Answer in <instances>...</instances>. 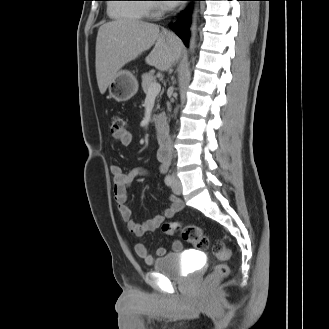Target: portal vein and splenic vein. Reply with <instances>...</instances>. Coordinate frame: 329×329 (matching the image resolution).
Masks as SVG:
<instances>
[{
  "instance_id": "1",
  "label": "portal vein and splenic vein",
  "mask_w": 329,
  "mask_h": 329,
  "mask_svg": "<svg viewBox=\"0 0 329 329\" xmlns=\"http://www.w3.org/2000/svg\"><path fill=\"white\" fill-rule=\"evenodd\" d=\"M161 90V85L154 82L150 85L147 96H156Z\"/></svg>"
}]
</instances>
